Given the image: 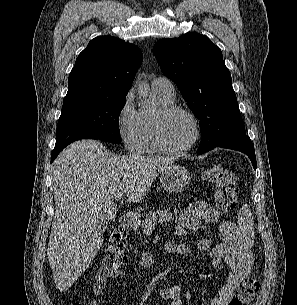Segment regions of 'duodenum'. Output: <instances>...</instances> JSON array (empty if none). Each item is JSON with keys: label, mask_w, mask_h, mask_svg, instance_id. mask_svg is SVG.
<instances>
[{"label": "duodenum", "mask_w": 297, "mask_h": 305, "mask_svg": "<svg viewBox=\"0 0 297 305\" xmlns=\"http://www.w3.org/2000/svg\"><path fill=\"white\" fill-rule=\"evenodd\" d=\"M120 224L125 229H133L137 226V220L132 214H125L120 218Z\"/></svg>", "instance_id": "410a0bca"}]
</instances>
